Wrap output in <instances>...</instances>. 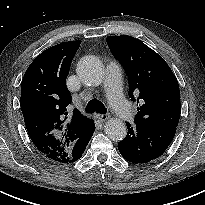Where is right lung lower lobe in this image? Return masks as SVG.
<instances>
[{"mask_svg":"<svg viewBox=\"0 0 205 205\" xmlns=\"http://www.w3.org/2000/svg\"><path fill=\"white\" fill-rule=\"evenodd\" d=\"M94 131H95V125L92 121L90 128L86 132H84V134H82L71 147L68 163L75 162L82 156Z\"/></svg>","mask_w":205,"mask_h":205,"instance_id":"obj_1","label":"right lung lower lobe"}]
</instances>
